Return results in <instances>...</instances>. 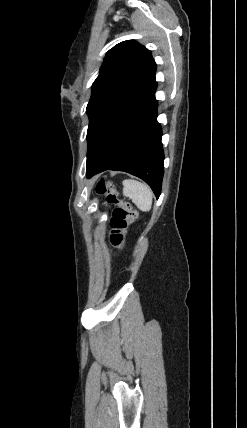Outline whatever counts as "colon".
Wrapping results in <instances>:
<instances>
[{"label":"colon","instance_id":"5ec220e1","mask_svg":"<svg viewBox=\"0 0 247 428\" xmlns=\"http://www.w3.org/2000/svg\"><path fill=\"white\" fill-rule=\"evenodd\" d=\"M96 191L99 194H105L107 203L114 206L109 223L110 243L116 248L124 247L125 236L129 226L137 217V211L130 203L119 198L110 182L99 180L96 183Z\"/></svg>","mask_w":247,"mask_h":428}]
</instances>
